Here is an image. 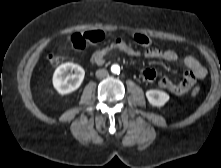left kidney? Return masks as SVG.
<instances>
[{
  "mask_svg": "<svg viewBox=\"0 0 221 168\" xmlns=\"http://www.w3.org/2000/svg\"><path fill=\"white\" fill-rule=\"evenodd\" d=\"M146 97L149 103L155 107H162L169 100V95L166 92L153 89L146 92Z\"/></svg>",
  "mask_w": 221,
  "mask_h": 168,
  "instance_id": "left-kidney-1",
  "label": "left kidney"
}]
</instances>
